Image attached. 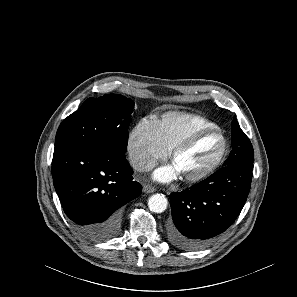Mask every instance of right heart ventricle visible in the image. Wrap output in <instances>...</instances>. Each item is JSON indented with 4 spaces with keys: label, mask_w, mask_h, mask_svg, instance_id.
<instances>
[{
    "label": "right heart ventricle",
    "mask_w": 297,
    "mask_h": 297,
    "mask_svg": "<svg viewBox=\"0 0 297 297\" xmlns=\"http://www.w3.org/2000/svg\"><path fill=\"white\" fill-rule=\"evenodd\" d=\"M153 126L158 140L167 150H171L190 132L199 128L216 127V124L194 113L169 111L154 119Z\"/></svg>",
    "instance_id": "right-heart-ventricle-1"
}]
</instances>
